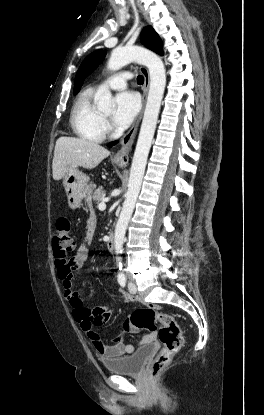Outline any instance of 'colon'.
I'll use <instances>...</instances> for the list:
<instances>
[{"mask_svg": "<svg viewBox=\"0 0 264 415\" xmlns=\"http://www.w3.org/2000/svg\"><path fill=\"white\" fill-rule=\"evenodd\" d=\"M53 242L54 248L60 257L67 256L73 250L71 223L68 217L61 216L57 219ZM127 320L133 326L151 330L155 329L158 323L161 324L159 338L163 344V348L151 367V374L156 377L182 346L183 338L178 322L173 316L160 311L155 306L140 308L132 312ZM102 321L103 317L101 315L96 316L93 320L97 326Z\"/></svg>", "mask_w": 264, "mask_h": 415, "instance_id": "colon-1", "label": "colon"}]
</instances>
